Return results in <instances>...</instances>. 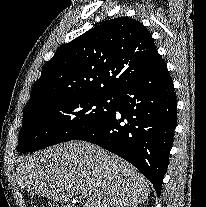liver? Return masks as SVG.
Returning a JSON list of instances; mask_svg holds the SVG:
<instances>
[{
	"instance_id": "1",
	"label": "liver",
	"mask_w": 206,
	"mask_h": 207,
	"mask_svg": "<svg viewBox=\"0 0 206 207\" xmlns=\"http://www.w3.org/2000/svg\"><path fill=\"white\" fill-rule=\"evenodd\" d=\"M16 180L55 202L83 192V207H136L148 199L150 184L131 164L84 141L54 145L20 160Z\"/></svg>"
}]
</instances>
